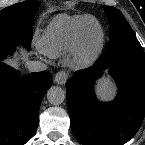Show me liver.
<instances>
[{
  "instance_id": "6515ba94",
  "label": "liver",
  "mask_w": 145,
  "mask_h": 145,
  "mask_svg": "<svg viewBox=\"0 0 145 145\" xmlns=\"http://www.w3.org/2000/svg\"><path fill=\"white\" fill-rule=\"evenodd\" d=\"M8 64H10V65H12V66H14V67L17 68V62H16V59H15V60H9V61H8Z\"/></svg>"
}]
</instances>
